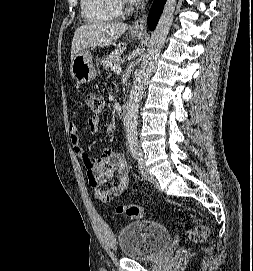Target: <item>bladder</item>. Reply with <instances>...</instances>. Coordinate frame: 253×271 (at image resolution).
<instances>
[{
	"label": "bladder",
	"instance_id": "1",
	"mask_svg": "<svg viewBox=\"0 0 253 271\" xmlns=\"http://www.w3.org/2000/svg\"><path fill=\"white\" fill-rule=\"evenodd\" d=\"M170 240V230L153 220H140L127 224L117 235L121 254L125 258L139 261L157 258Z\"/></svg>",
	"mask_w": 253,
	"mask_h": 271
}]
</instances>
